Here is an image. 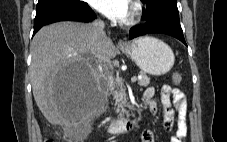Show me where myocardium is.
<instances>
[{"label": "myocardium", "instance_id": "myocardium-1", "mask_svg": "<svg viewBox=\"0 0 227 142\" xmlns=\"http://www.w3.org/2000/svg\"><path fill=\"white\" fill-rule=\"evenodd\" d=\"M143 5L139 0H134L131 6L129 18L126 20V26H133L139 23L143 17Z\"/></svg>", "mask_w": 227, "mask_h": 142}]
</instances>
